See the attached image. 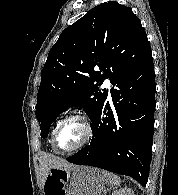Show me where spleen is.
Masks as SVG:
<instances>
[{
  "label": "spleen",
  "mask_w": 178,
  "mask_h": 195,
  "mask_svg": "<svg viewBox=\"0 0 178 195\" xmlns=\"http://www.w3.org/2000/svg\"><path fill=\"white\" fill-rule=\"evenodd\" d=\"M103 175L105 176L107 184H109L111 187L120 185L121 180L117 175L106 171H103Z\"/></svg>",
  "instance_id": "spleen-1"
}]
</instances>
